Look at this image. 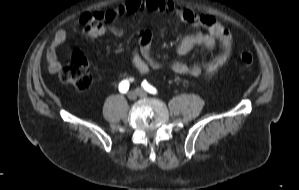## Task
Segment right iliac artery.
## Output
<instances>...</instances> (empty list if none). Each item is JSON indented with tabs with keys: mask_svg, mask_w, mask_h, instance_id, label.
<instances>
[{
	"mask_svg": "<svg viewBox=\"0 0 299 190\" xmlns=\"http://www.w3.org/2000/svg\"><path fill=\"white\" fill-rule=\"evenodd\" d=\"M129 89V81L128 80H123L120 84H119V91L121 93H126Z\"/></svg>",
	"mask_w": 299,
	"mask_h": 190,
	"instance_id": "1",
	"label": "right iliac artery"
}]
</instances>
